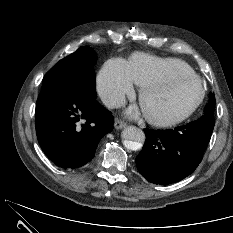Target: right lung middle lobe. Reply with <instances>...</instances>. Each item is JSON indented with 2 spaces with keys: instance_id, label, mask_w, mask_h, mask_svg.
<instances>
[{
  "instance_id": "dd1d6c3e",
  "label": "right lung middle lobe",
  "mask_w": 233,
  "mask_h": 233,
  "mask_svg": "<svg viewBox=\"0 0 233 233\" xmlns=\"http://www.w3.org/2000/svg\"><path fill=\"white\" fill-rule=\"evenodd\" d=\"M97 56L88 46L58 62L43 78L44 83H64L95 90L94 65Z\"/></svg>"
}]
</instances>
